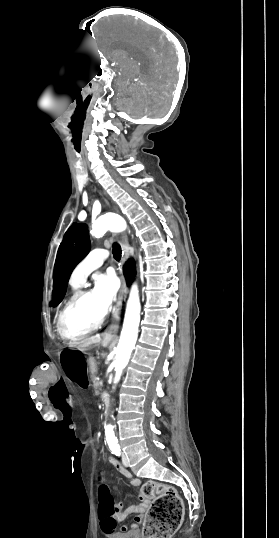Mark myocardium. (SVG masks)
<instances>
[{"mask_svg":"<svg viewBox=\"0 0 279 538\" xmlns=\"http://www.w3.org/2000/svg\"><path fill=\"white\" fill-rule=\"evenodd\" d=\"M105 231V228L104 226L102 225L101 228H100V232L98 234H93V235H96V236H101ZM93 292L92 289H81L79 290L70 300L69 302L64 306V308L62 309V311L60 312L59 314V317H58V320H57V329H58V333L60 334V336L65 339V340H68V341H71V342H75V341H79L93 333H95L96 331H98L100 329V327L102 326L104 320H105V317H106V312L99 318V320L96 322V324L89 328L88 330L82 332V333H79V334H70L67 332L66 328H65V319H66V316L68 314V312L75 306L77 305L78 303H80L81 301H83L89 294H91Z\"/></svg>","mask_w":279,"mask_h":538,"instance_id":"f54148a6","label":"myocardium"}]
</instances>
